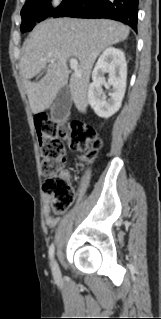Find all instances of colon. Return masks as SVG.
<instances>
[{"mask_svg":"<svg viewBox=\"0 0 161 319\" xmlns=\"http://www.w3.org/2000/svg\"><path fill=\"white\" fill-rule=\"evenodd\" d=\"M35 133L38 138L43 187L52 196L51 212L62 215L74 201V192L68 179L62 176L65 142L70 149L83 153L85 159H91L101 146V141L95 130L83 123L63 124L43 117L35 120Z\"/></svg>","mask_w":161,"mask_h":319,"instance_id":"5ec220e1","label":"colon"}]
</instances>
